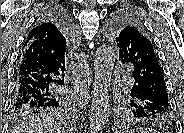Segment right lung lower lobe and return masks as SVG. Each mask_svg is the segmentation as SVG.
<instances>
[{"instance_id": "98d812e1", "label": "right lung lower lobe", "mask_w": 184, "mask_h": 133, "mask_svg": "<svg viewBox=\"0 0 184 133\" xmlns=\"http://www.w3.org/2000/svg\"><path fill=\"white\" fill-rule=\"evenodd\" d=\"M45 16L55 17L56 22L72 35V22L66 11L55 9ZM65 55L48 56L28 46L21 51L16 68L14 88L15 105H46L61 98L63 92L54 84L63 85L65 76Z\"/></svg>"}]
</instances>
